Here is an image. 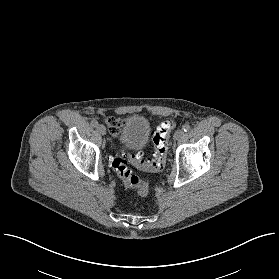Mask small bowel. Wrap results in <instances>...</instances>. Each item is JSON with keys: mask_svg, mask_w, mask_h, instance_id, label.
<instances>
[{"mask_svg": "<svg viewBox=\"0 0 279 279\" xmlns=\"http://www.w3.org/2000/svg\"><path fill=\"white\" fill-rule=\"evenodd\" d=\"M106 123L113 133H117L122 126V121L117 118H107Z\"/></svg>", "mask_w": 279, "mask_h": 279, "instance_id": "c3829d8e", "label": "small bowel"}]
</instances>
